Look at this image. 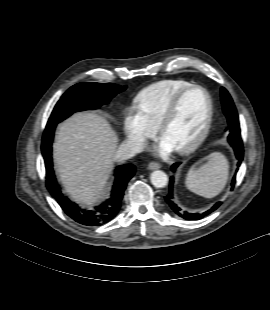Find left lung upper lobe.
Segmentation results:
<instances>
[{"label": "left lung upper lobe", "instance_id": "left-lung-upper-lobe-1", "mask_svg": "<svg viewBox=\"0 0 270 310\" xmlns=\"http://www.w3.org/2000/svg\"><path fill=\"white\" fill-rule=\"evenodd\" d=\"M221 101L223 106V112L228 120V141L232 142L241 140L240 126L238 120V114L233 103V100L225 88H221Z\"/></svg>", "mask_w": 270, "mask_h": 310}]
</instances>
